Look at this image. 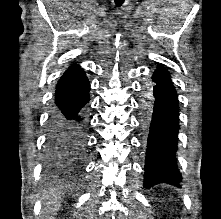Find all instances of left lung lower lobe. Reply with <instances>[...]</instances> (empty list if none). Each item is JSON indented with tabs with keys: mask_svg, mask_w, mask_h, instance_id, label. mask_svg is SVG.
<instances>
[{
	"mask_svg": "<svg viewBox=\"0 0 221 219\" xmlns=\"http://www.w3.org/2000/svg\"><path fill=\"white\" fill-rule=\"evenodd\" d=\"M154 112L147 143L144 186L159 183L178 185L181 175L176 165L179 130L178 96L169 73L158 66L152 76Z\"/></svg>",
	"mask_w": 221,
	"mask_h": 219,
	"instance_id": "left-lung-lower-lobe-1",
	"label": "left lung lower lobe"
}]
</instances>
